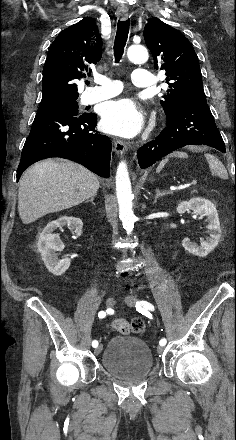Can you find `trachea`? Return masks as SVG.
<instances>
[{
  "label": "trachea",
  "mask_w": 236,
  "mask_h": 440,
  "mask_svg": "<svg viewBox=\"0 0 236 440\" xmlns=\"http://www.w3.org/2000/svg\"><path fill=\"white\" fill-rule=\"evenodd\" d=\"M130 20L119 21L117 24V32L114 42L115 62L118 63L123 55L124 47L127 42L129 33Z\"/></svg>",
  "instance_id": "1"
}]
</instances>
